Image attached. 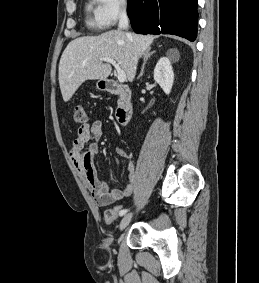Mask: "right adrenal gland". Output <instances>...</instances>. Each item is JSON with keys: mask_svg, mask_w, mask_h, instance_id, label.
Listing matches in <instances>:
<instances>
[{"mask_svg": "<svg viewBox=\"0 0 259 283\" xmlns=\"http://www.w3.org/2000/svg\"><path fill=\"white\" fill-rule=\"evenodd\" d=\"M154 52H155V51H150V50H148V51H146V52L144 53V55H143V60H144V62H143L142 68H141L140 75L138 76V79L143 76L145 65H146L148 59L154 54Z\"/></svg>", "mask_w": 259, "mask_h": 283, "instance_id": "2a0ac1e0", "label": "right adrenal gland"}]
</instances>
